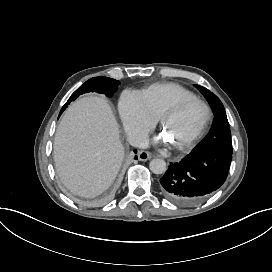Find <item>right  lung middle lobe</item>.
I'll list each match as a JSON object with an SVG mask.
<instances>
[{"label":"right lung middle lobe","mask_w":272,"mask_h":272,"mask_svg":"<svg viewBox=\"0 0 272 272\" xmlns=\"http://www.w3.org/2000/svg\"><path fill=\"white\" fill-rule=\"evenodd\" d=\"M120 84L119 81L108 77H94L86 81L78 90H76L68 99L60 111V114L67 108L70 102L74 101L79 95L86 92H98L110 97ZM59 114V115H60Z\"/></svg>","instance_id":"1"}]
</instances>
